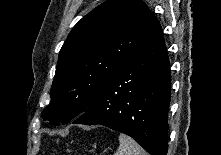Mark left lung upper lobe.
<instances>
[{
  "label": "left lung upper lobe",
  "instance_id": "1",
  "mask_svg": "<svg viewBox=\"0 0 221 155\" xmlns=\"http://www.w3.org/2000/svg\"><path fill=\"white\" fill-rule=\"evenodd\" d=\"M158 24L140 0H108L83 17L62 46L44 120L70 122Z\"/></svg>",
  "mask_w": 221,
  "mask_h": 155
}]
</instances>
